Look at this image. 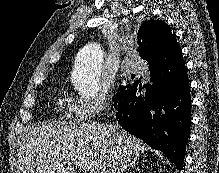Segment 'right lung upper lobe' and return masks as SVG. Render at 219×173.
<instances>
[{"instance_id":"right-lung-upper-lobe-1","label":"right lung upper lobe","mask_w":219,"mask_h":173,"mask_svg":"<svg viewBox=\"0 0 219 173\" xmlns=\"http://www.w3.org/2000/svg\"><path fill=\"white\" fill-rule=\"evenodd\" d=\"M137 39L138 51L144 60L155 54H158L159 59H166L170 63L182 58L176 36L163 21L150 20L143 22L139 28Z\"/></svg>"}]
</instances>
